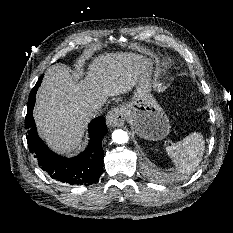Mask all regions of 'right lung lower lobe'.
<instances>
[{
    "instance_id": "98d812e1",
    "label": "right lung lower lobe",
    "mask_w": 233,
    "mask_h": 233,
    "mask_svg": "<svg viewBox=\"0 0 233 233\" xmlns=\"http://www.w3.org/2000/svg\"><path fill=\"white\" fill-rule=\"evenodd\" d=\"M42 78L43 75L31 90L28 99L25 127L28 133L29 150L37 158L41 169L47 172L51 178L70 185H91L99 179L103 169L102 138L107 132L105 118L99 116L90 122V140L83 153L73 158H65L55 154L38 137L32 115L36 92Z\"/></svg>"
}]
</instances>
